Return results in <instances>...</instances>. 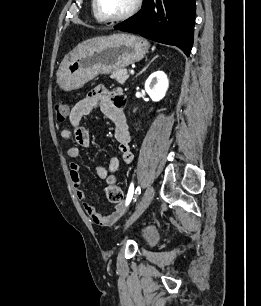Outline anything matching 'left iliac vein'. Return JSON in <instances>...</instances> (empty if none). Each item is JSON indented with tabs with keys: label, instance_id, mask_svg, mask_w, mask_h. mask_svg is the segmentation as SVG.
<instances>
[{
	"label": "left iliac vein",
	"instance_id": "4c4485c4",
	"mask_svg": "<svg viewBox=\"0 0 261 306\" xmlns=\"http://www.w3.org/2000/svg\"><path fill=\"white\" fill-rule=\"evenodd\" d=\"M153 196H154V188L152 186H148V188L144 192V195H143L141 201L139 202L135 212L126 222V227L125 228L130 226L146 210V208L151 203V201L153 199Z\"/></svg>",
	"mask_w": 261,
	"mask_h": 306
}]
</instances>
